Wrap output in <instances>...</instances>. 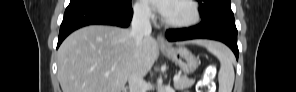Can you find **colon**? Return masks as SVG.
<instances>
[{
    "label": "colon",
    "mask_w": 296,
    "mask_h": 92,
    "mask_svg": "<svg viewBox=\"0 0 296 92\" xmlns=\"http://www.w3.org/2000/svg\"><path fill=\"white\" fill-rule=\"evenodd\" d=\"M212 79H213V69L209 67L200 81L199 92L210 91Z\"/></svg>",
    "instance_id": "1"
}]
</instances>
